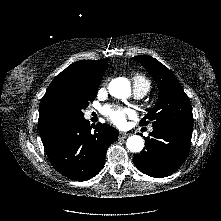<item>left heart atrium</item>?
Returning <instances> with one entry per match:
<instances>
[{"label": "left heart atrium", "instance_id": "1", "mask_svg": "<svg viewBox=\"0 0 221 221\" xmlns=\"http://www.w3.org/2000/svg\"><path fill=\"white\" fill-rule=\"evenodd\" d=\"M105 115L118 127H124L128 117L133 116V111L130 109H110L104 110Z\"/></svg>", "mask_w": 221, "mask_h": 221}]
</instances>
